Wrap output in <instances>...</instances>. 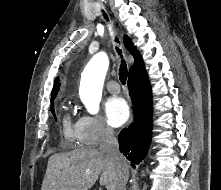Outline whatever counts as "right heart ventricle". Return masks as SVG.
Masks as SVG:
<instances>
[{
	"mask_svg": "<svg viewBox=\"0 0 221 190\" xmlns=\"http://www.w3.org/2000/svg\"><path fill=\"white\" fill-rule=\"evenodd\" d=\"M63 133L67 141L71 143L80 142L77 130V122H73L67 114L63 119Z\"/></svg>",
	"mask_w": 221,
	"mask_h": 190,
	"instance_id": "obj_1",
	"label": "right heart ventricle"
}]
</instances>
